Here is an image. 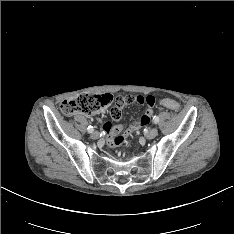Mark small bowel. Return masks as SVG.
<instances>
[{"instance_id": "obj_1", "label": "small bowel", "mask_w": 234, "mask_h": 234, "mask_svg": "<svg viewBox=\"0 0 234 234\" xmlns=\"http://www.w3.org/2000/svg\"><path fill=\"white\" fill-rule=\"evenodd\" d=\"M155 102V97L149 95L140 96L124 94L119 96V98H117L116 100V104L112 103L108 109V113L112 115L113 120L117 122H115V124L106 122L103 126L104 130L107 133L108 145L115 147L120 145L125 140V135H121L123 125L118 122L122 118L121 112L123 110V106H126L128 104H146L148 106V109L144 112V114L132 124L131 130H135V132H138V128L143 127L149 123L150 118L153 114L152 107Z\"/></svg>"}]
</instances>
